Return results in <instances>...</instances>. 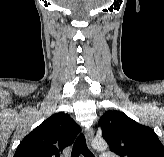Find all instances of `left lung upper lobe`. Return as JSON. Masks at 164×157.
<instances>
[{"label":"left lung upper lobe","mask_w":164,"mask_h":157,"mask_svg":"<svg viewBox=\"0 0 164 157\" xmlns=\"http://www.w3.org/2000/svg\"><path fill=\"white\" fill-rule=\"evenodd\" d=\"M103 138L118 157H164V146L154 130L120 111H107L99 120Z\"/></svg>","instance_id":"5c2ea615"}]
</instances>
